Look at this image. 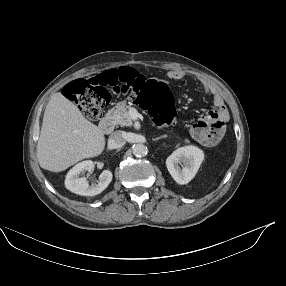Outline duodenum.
Listing matches in <instances>:
<instances>
[{
    "label": "duodenum",
    "instance_id": "410a0bca",
    "mask_svg": "<svg viewBox=\"0 0 286 286\" xmlns=\"http://www.w3.org/2000/svg\"><path fill=\"white\" fill-rule=\"evenodd\" d=\"M101 131L104 134H111L114 130V122L109 113H106L100 125Z\"/></svg>",
    "mask_w": 286,
    "mask_h": 286
}]
</instances>
